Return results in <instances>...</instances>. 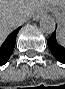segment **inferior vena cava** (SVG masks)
Masks as SVG:
<instances>
[{
  "label": "inferior vena cava",
  "instance_id": "obj_1",
  "mask_svg": "<svg viewBox=\"0 0 65 89\" xmlns=\"http://www.w3.org/2000/svg\"><path fill=\"white\" fill-rule=\"evenodd\" d=\"M27 21V19L26 18H22V19H20V20H18V21H16V27H18V26H20V25H22L24 22H26Z\"/></svg>",
  "mask_w": 65,
  "mask_h": 89
}]
</instances>
